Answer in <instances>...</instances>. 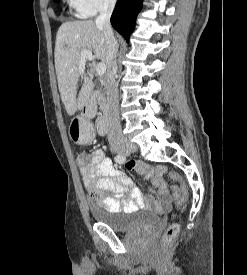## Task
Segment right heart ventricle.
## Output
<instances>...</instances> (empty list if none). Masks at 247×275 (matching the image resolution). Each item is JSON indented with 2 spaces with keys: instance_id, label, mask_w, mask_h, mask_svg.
<instances>
[{
  "instance_id": "1",
  "label": "right heart ventricle",
  "mask_w": 247,
  "mask_h": 275,
  "mask_svg": "<svg viewBox=\"0 0 247 275\" xmlns=\"http://www.w3.org/2000/svg\"><path fill=\"white\" fill-rule=\"evenodd\" d=\"M66 1H67L69 6L74 7V5H75L74 0H66Z\"/></svg>"
}]
</instances>
